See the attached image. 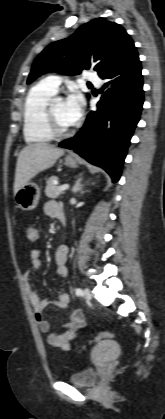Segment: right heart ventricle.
Wrapping results in <instances>:
<instances>
[{
	"label": "right heart ventricle",
	"mask_w": 165,
	"mask_h": 419,
	"mask_svg": "<svg viewBox=\"0 0 165 419\" xmlns=\"http://www.w3.org/2000/svg\"><path fill=\"white\" fill-rule=\"evenodd\" d=\"M55 95L42 82L28 92L23 107V134L29 143H47L54 139L48 129L45 108Z\"/></svg>",
	"instance_id": "right-heart-ventricle-1"
}]
</instances>
